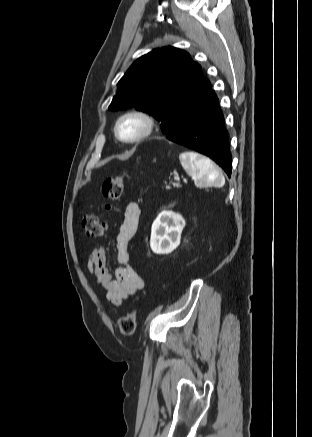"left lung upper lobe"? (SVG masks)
Returning <instances> with one entry per match:
<instances>
[{
    "label": "left lung upper lobe",
    "mask_w": 312,
    "mask_h": 437,
    "mask_svg": "<svg viewBox=\"0 0 312 437\" xmlns=\"http://www.w3.org/2000/svg\"><path fill=\"white\" fill-rule=\"evenodd\" d=\"M109 109L135 107L173 136L212 92L210 82L190 55L174 47L154 49L137 59L117 84Z\"/></svg>",
    "instance_id": "5c2ea615"
}]
</instances>
